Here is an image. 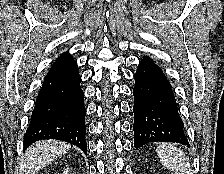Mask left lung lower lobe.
Here are the masks:
<instances>
[{
    "label": "left lung lower lobe",
    "mask_w": 224,
    "mask_h": 174,
    "mask_svg": "<svg viewBox=\"0 0 224 174\" xmlns=\"http://www.w3.org/2000/svg\"><path fill=\"white\" fill-rule=\"evenodd\" d=\"M134 146L177 142L189 146L169 80L150 57L141 59L134 75Z\"/></svg>",
    "instance_id": "left-lung-lower-lobe-1"
}]
</instances>
